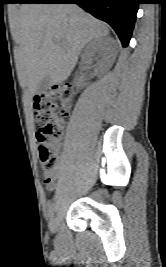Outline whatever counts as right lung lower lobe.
I'll return each instance as SVG.
<instances>
[{
	"mask_svg": "<svg viewBox=\"0 0 166 267\" xmlns=\"http://www.w3.org/2000/svg\"><path fill=\"white\" fill-rule=\"evenodd\" d=\"M20 3H76L110 24L126 47L130 41L140 0H21Z\"/></svg>",
	"mask_w": 166,
	"mask_h": 267,
	"instance_id": "98d812e1",
	"label": "right lung lower lobe"
}]
</instances>
